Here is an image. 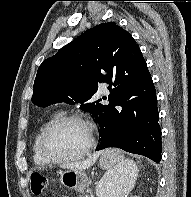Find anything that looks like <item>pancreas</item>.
<instances>
[{
	"mask_svg": "<svg viewBox=\"0 0 191 197\" xmlns=\"http://www.w3.org/2000/svg\"><path fill=\"white\" fill-rule=\"evenodd\" d=\"M82 197H89V195L88 194H84Z\"/></svg>",
	"mask_w": 191,
	"mask_h": 197,
	"instance_id": "obj_1",
	"label": "pancreas"
}]
</instances>
